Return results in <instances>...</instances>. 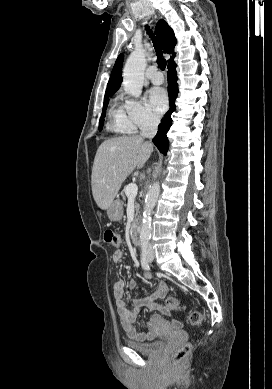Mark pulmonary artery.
I'll list each match as a JSON object with an SVG mask.
<instances>
[{
    "mask_svg": "<svg viewBox=\"0 0 272 389\" xmlns=\"http://www.w3.org/2000/svg\"><path fill=\"white\" fill-rule=\"evenodd\" d=\"M149 80L152 84L154 85H160L163 83L164 81V78H163V75L161 72L159 71H153L150 75H149Z\"/></svg>",
    "mask_w": 272,
    "mask_h": 389,
    "instance_id": "e3ab8cb5",
    "label": "pulmonary artery"
}]
</instances>
